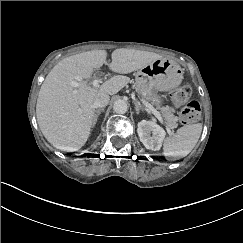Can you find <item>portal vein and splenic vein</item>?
I'll return each mask as SVG.
<instances>
[{"mask_svg": "<svg viewBox=\"0 0 243 243\" xmlns=\"http://www.w3.org/2000/svg\"><path fill=\"white\" fill-rule=\"evenodd\" d=\"M93 87L98 88L99 87V81L98 80H94L92 83ZM143 104L150 110L152 111V113L155 115V117L160 121L163 122L161 114L159 111H157L151 104H149L148 102H143Z\"/></svg>", "mask_w": 243, "mask_h": 243, "instance_id": "obj_1", "label": "portal vein and splenic vein"}]
</instances>
